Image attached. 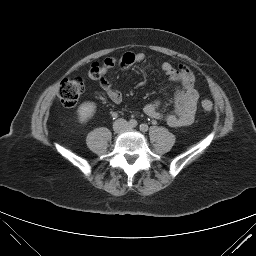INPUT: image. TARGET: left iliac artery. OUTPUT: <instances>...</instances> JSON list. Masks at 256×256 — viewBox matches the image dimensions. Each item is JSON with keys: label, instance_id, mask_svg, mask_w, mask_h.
<instances>
[{"label": "left iliac artery", "instance_id": "1", "mask_svg": "<svg viewBox=\"0 0 256 256\" xmlns=\"http://www.w3.org/2000/svg\"><path fill=\"white\" fill-rule=\"evenodd\" d=\"M139 128H140V130H141L142 132H146V131L148 130V125H147V124H141V125L139 126Z\"/></svg>", "mask_w": 256, "mask_h": 256}]
</instances>
